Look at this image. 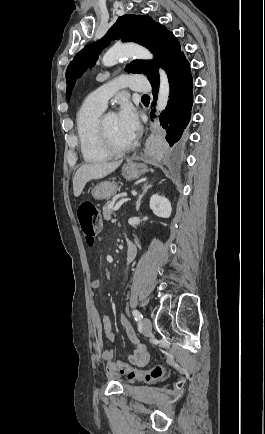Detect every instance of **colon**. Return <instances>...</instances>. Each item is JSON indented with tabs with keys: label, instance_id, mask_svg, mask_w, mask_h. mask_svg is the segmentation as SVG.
<instances>
[{
	"label": "colon",
	"instance_id": "obj_1",
	"mask_svg": "<svg viewBox=\"0 0 265 434\" xmlns=\"http://www.w3.org/2000/svg\"><path fill=\"white\" fill-rule=\"evenodd\" d=\"M76 215L86 245H92L98 235L101 225V214L99 209L91 201H85L77 206ZM116 361H119V358H116ZM120 367L122 371L128 375L129 379H131L132 376L138 375L147 382L160 379L166 374V368L160 365L149 370H132V368L127 364H120Z\"/></svg>",
	"mask_w": 265,
	"mask_h": 434
}]
</instances>
